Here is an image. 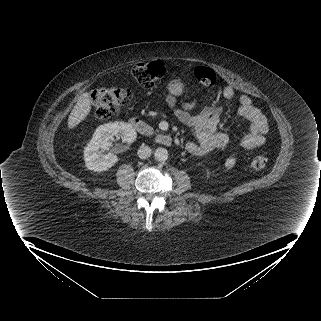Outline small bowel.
I'll use <instances>...</instances> for the list:
<instances>
[{
	"mask_svg": "<svg viewBox=\"0 0 321 321\" xmlns=\"http://www.w3.org/2000/svg\"><path fill=\"white\" fill-rule=\"evenodd\" d=\"M224 97L232 100L236 97L234 88L224 89ZM175 116L194 134L195 140L186 144V150L193 156H202L214 150L224 149L228 136L220 130L221 107H207L198 110L194 101L177 105L172 97L166 98ZM239 115L248 121L250 133L242 138L240 145L244 150H254L265 143L269 131L267 118L247 95L239 97Z\"/></svg>",
	"mask_w": 321,
	"mask_h": 321,
	"instance_id": "obj_1",
	"label": "small bowel"
}]
</instances>
